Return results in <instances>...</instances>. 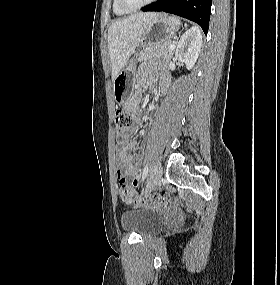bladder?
Returning <instances> with one entry per match:
<instances>
[{
	"label": "bladder",
	"instance_id": "bladder-1",
	"mask_svg": "<svg viewBox=\"0 0 280 285\" xmlns=\"http://www.w3.org/2000/svg\"><path fill=\"white\" fill-rule=\"evenodd\" d=\"M163 222L160 212L152 209H135L123 212L121 226L140 235L157 231Z\"/></svg>",
	"mask_w": 280,
	"mask_h": 285
}]
</instances>
